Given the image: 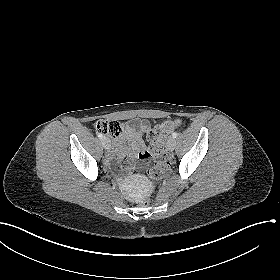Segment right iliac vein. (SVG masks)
Masks as SVG:
<instances>
[{
    "label": "right iliac vein",
    "instance_id": "1",
    "mask_svg": "<svg viewBox=\"0 0 280 280\" xmlns=\"http://www.w3.org/2000/svg\"><path fill=\"white\" fill-rule=\"evenodd\" d=\"M102 145H103V147H104L106 150H109L110 147H111V142H110V140H109L107 137H104V138L102 139Z\"/></svg>",
    "mask_w": 280,
    "mask_h": 280
}]
</instances>
